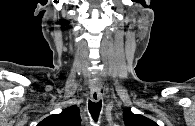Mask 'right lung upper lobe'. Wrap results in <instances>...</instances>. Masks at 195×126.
I'll return each instance as SVG.
<instances>
[{"label": "right lung upper lobe", "mask_w": 195, "mask_h": 126, "mask_svg": "<svg viewBox=\"0 0 195 126\" xmlns=\"http://www.w3.org/2000/svg\"><path fill=\"white\" fill-rule=\"evenodd\" d=\"M80 112L77 106L66 108L60 114H53L41 121L37 126H79Z\"/></svg>", "instance_id": "1"}]
</instances>
